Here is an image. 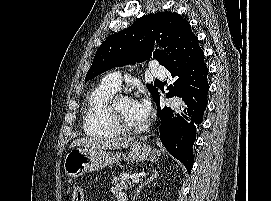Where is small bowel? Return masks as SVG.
Instances as JSON below:
<instances>
[{
    "label": "small bowel",
    "mask_w": 271,
    "mask_h": 201,
    "mask_svg": "<svg viewBox=\"0 0 271 201\" xmlns=\"http://www.w3.org/2000/svg\"><path fill=\"white\" fill-rule=\"evenodd\" d=\"M113 193L118 196L119 194H124L119 188L113 187L112 188Z\"/></svg>",
    "instance_id": "obj_1"
}]
</instances>
